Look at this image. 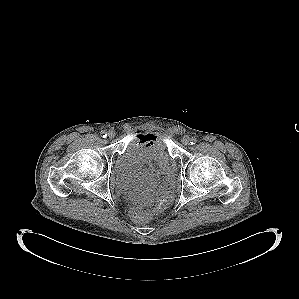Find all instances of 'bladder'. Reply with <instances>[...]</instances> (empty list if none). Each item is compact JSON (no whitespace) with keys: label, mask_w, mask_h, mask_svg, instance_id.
I'll list each match as a JSON object with an SVG mask.
<instances>
[{"label":"bladder","mask_w":299,"mask_h":299,"mask_svg":"<svg viewBox=\"0 0 299 299\" xmlns=\"http://www.w3.org/2000/svg\"><path fill=\"white\" fill-rule=\"evenodd\" d=\"M143 163L157 165L170 180L174 179L173 158L164 135L157 134L148 142L141 138H131L115 160L113 175L116 181L119 183L126 181Z\"/></svg>","instance_id":"obj_1"}]
</instances>
